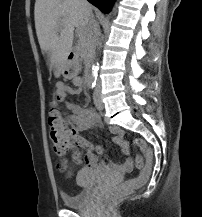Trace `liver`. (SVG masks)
I'll list each match as a JSON object with an SVG mask.
<instances>
[{"label": "liver", "instance_id": "1", "mask_svg": "<svg viewBox=\"0 0 202 217\" xmlns=\"http://www.w3.org/2000/svg\"><path fill=\"white\" fill-rule=\"evenodd\" d=\"M89 3L81 0H36L34 9L35 28L40 48L46 52L50 70L59 77L68 55L72 51L74 28L87 29L86 9Z\"/></svg>", "mask_w": 202, "mask_h": 217}]
</instances>
